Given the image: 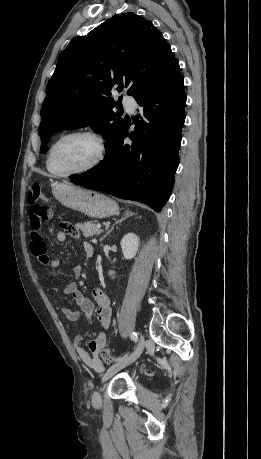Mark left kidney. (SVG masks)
Here are the masks:
<instances>
[{"label": "left kidney", "instance_id": "5707ae66", "mask_svg": "<svg viewBox=\"0 0 261 459\" xmlns=\"http://www.w3.org/2000/svg\"><path fill=\"white\" fill-rule=\"evenodd\" d=\"M120 244L125 259L130 260L134 258L138 251L139 238L133 233H128L122 238ZM114 274V271H109V275L112 276Z\"/></svg>", "mask_w": 261, "mask_h": 459}]
</instances>
